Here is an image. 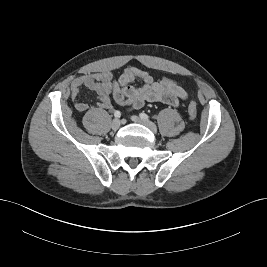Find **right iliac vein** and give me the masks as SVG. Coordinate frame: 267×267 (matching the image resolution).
Listing matches in <instances>:
<instances>
[{"label": "right iliac vein", "instance_id": "right-iliac-vein-1", "mask_svg": "<svg viewBox=\"0 0 267 267\" xmlns=\"http://www.w3.org/2000/svg\"><path fill=\"white\" fill-rule=\"evenodd\" d=\"M120 125H121L120 120L116 118V119H114V120L112 121V123H111V128H112L113 130H118L119 127H120Z\"/></svg>", "mask_w": 267, "mask_h": 267}]
</instances>
